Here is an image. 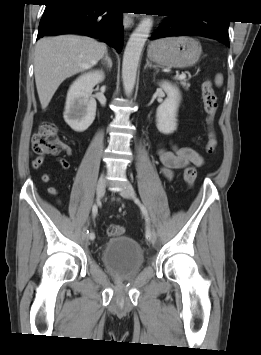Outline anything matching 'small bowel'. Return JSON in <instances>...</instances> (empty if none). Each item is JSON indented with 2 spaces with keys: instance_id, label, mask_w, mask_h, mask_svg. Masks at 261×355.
Wrapping results in <instances>:
<instances>
[{
  "instance_id": "small-bowel-1",
  "label": "small bowel",
  "mask_w": 261,
  "mask_h": 355,
  "mask_svg": "<svg viewBox=\"0 0 261 355\" xmlns=\"http://www.w3.org/2000/svg\"><path fill=\"white\" fill-rule=\"evenodd\" d=\"M160 161L161 173L167 179H172L174 171L183 169L187 165L192 164L197 167H201L204 164V159L198 151L191 147H180L176 144H170L168 147L160 144L157 150ZM43 158L37 157L31 163L33 169L37 170L43 163ZM59 165L67 170L69 168V162L65 158L58 159ZM43 182H49L51 177L49 174H44L41 177ZM51 194H56L57 190L54 187L49 188Z\"/></svg>"
}]
</instances>
